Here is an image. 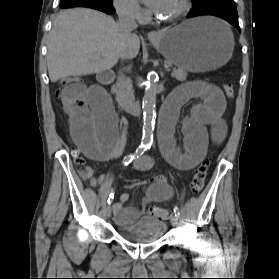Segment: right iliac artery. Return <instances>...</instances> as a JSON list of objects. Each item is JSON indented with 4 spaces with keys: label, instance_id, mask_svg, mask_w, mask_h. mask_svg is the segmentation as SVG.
<instances>
[{
    "label": "right iliac artery",
    "instance_id": "1",
    "mask_svg": "<svg viewBox=\"0 0 279 279\" xmlns=\"http://www.w3.org/2000/svg\"><path fill=\"white\" fill-rule=\"evenodd\" d=\"M146 149L147 148L145 146H142V145L139 146L133 154L127 155L124 158L123 164L128 165L129 163L132 162V160L141 156L146 151ZM113 199H114V192H111L109 195V198L107 200L108 204H111L113 202Z\"/></svg>",
    "mask_w": 279,
    "mask_h": 279
}]
</instances>
